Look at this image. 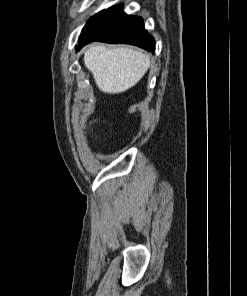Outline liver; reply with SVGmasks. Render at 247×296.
I'll use <instances>...</instances> for the list:
<instances>
[{
	"instance_id": "1",
	"label": "liver",
	"mask_w": 247,
	"mask_h": 296,
	"mask_svg": "<svg viewBox=\"0 0 247 296\" xmlns=\"http://www.w3.org/2000/svg\"><path fill=\"white\" fill-rule=\"evenodd\" d=\"M84 64L102 92L115 94L140 81L150 67V57L131 48L94 45L85 52Z\"/></svg>"
}]
</instances>
